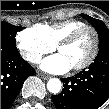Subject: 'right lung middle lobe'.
I'll return each instance as SVG.
<instances>
[{
	"instance_id": "obj_1",
	"label": "right lung middle lobe",
	"mask_w": 109,
	"mask_h": 109,
	"mask_svg": "<svg viewBox=\"0 0 109 109\" xmlns=\"http://www.w3.org/2000/svg\"><path fill=\"white\" fill-rule=\"evenodd\" d=\"M22 27L11 25L7 22H1V45L16 48L15 33Z\"/></svg>"
}]
</instances>
